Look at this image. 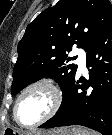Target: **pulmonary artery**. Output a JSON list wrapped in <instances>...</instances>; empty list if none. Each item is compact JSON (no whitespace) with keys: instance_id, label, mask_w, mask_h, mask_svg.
<instances>
[{"instance_id":"1","label":"pulmonary artery","mask_w":112,"mask_h":135,"mask_svg":"<svg viewBox=\"0 0 112 135\" xmlns=\"http://www.w3.org/2000/svg\"><path fill=\"white\" fill-rule=\"evenodd\" d=\"M78 64V69L81 72H84L86 70V55L83 52L78 53V57L76 60Z\"/></svg>"}]
</instances>
